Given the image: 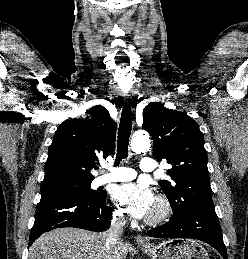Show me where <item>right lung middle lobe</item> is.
I'll use <instances>...</instances> for the list:
<instances>
[{
  "instance_id": "right-lung-middle-lobe-1",
  "label": "right lung middle lobe",
  "mask_w": 248,
  "mask_h": 259,
  "mask_svg": "<svg viewBox=\"0 0 248 259\" xmlns=\"http://www.w3.org/2000/svg\"><path fill=\"white\" fill-rule=\"evenodd\" d=\"M92 180L87 181H62L41 185V196L47 194H71L80 197H97L103 193L90 188Z\"/></svg>"
}]
</instances>
